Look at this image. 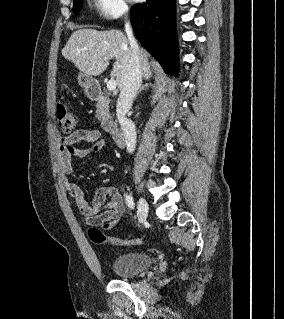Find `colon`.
Wrapping results in <instances>:
<instances>
[{
	"mask_svg": "<svg viewBox=\"0 0 284 319\" xmlns=\"http://www.w3.org/2000/svg\"><path fill=\"white\" fill-rule=\"evenodd\" d=\"M57 123L64 133H71L77 124L76 117L72 112L71 106L61 102L56 107ZM90 240L95 244H110L113 246H132L141 244L142 239H122L117 237L106 236L98 228L92 227L88 231Z\"/></svg>",
	"mask_w": 284,
	"mask_h": 319,
	"instance_id": "5ec220e1",
	"label": "colon"
}]
</instances>
